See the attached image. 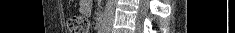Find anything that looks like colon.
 <instances>
[{
    "mask_svg": "<svg viewBox=\"0 0 235 33\" xmlns=\"http://www.w3.org/2000/svg\"><path fill=\"white\" fill-rule=\"evenodd\" d=\"M69 30L71 33H88L89 23L83 16H74L69 19Z\"/></svg>",
    "mask_w": 235,
    "mask_h": 33,
    "instance_id": "1",
    "label": "colon"
}]
</instances>
